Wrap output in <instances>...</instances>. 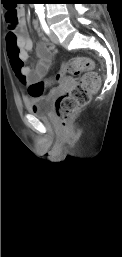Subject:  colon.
I'll use <instances>...</instances> for the list:
<instances>
[{
	"label": "colon",
	"instance_id": "1",
	"mask_svg": "<svg viewBox=\"0 0 122 257\" xmlns=\"http://www.w3.org/2000/svg\"><path fill=\"white\" fill-rule=\"evenodd\" d=\"M3 10H8L6 20L10 27H14L18 22V5H3ZM93 68L94 63L91 59L74 57L64 62L60 70H55V74L49 76V79H38V82L28 83L27 94L29 98H47L51 90L61 89L58 84H64V79L68 74L78 75L86 72L79 84L73 86L55 101L56 116L62 125L66 126L72 116L90 101L91 94L100 86V77L92 71Z\"/></svg>",
	"mask_w": 122,
	"mask_h": 257
}]
</instances>
